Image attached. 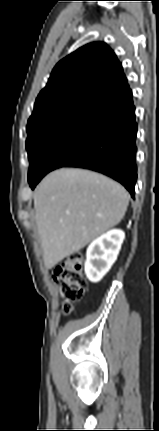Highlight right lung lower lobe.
<instances>
[{"label":"right lung lower lobe","mask_w":159,"mask_h":431,"mask_svg":"<svg viewBox=\"0 0 159 431\" xmlns=\"http://www.w3.org/2000/svg\"><path fill=\"white\" fill-rule=\"evenodd\" d=\"M137 123L132 96L86 118L67 132L47 154L36 184L50 171L78 167L103 173L120 182L134 196Z\"/></svg>","instance_id":"obj_1"}]
</instances>
